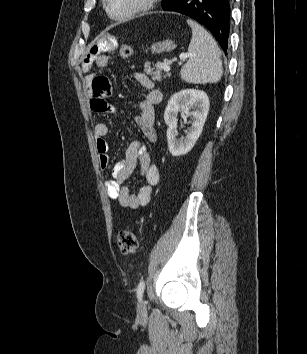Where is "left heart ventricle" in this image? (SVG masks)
I'll use <instances>...</instances> for the list:
<instances>
[{
    "label": "left heart ventricle",
    "mask_w": 307,
    "mask_h": 354,
    "mask_svg": "<svg viewBox=\"0 0 307 354\" xmlns=\"http://www.w3.org/2000/svg\"><path fill=\"white\" fill-rule=\"evenodd\" d=\"M141 0H109V8L112 14L122 15L135 8Z\"/></svg>",
    "instance_id": "b2bd125f"
}]
</instances>
